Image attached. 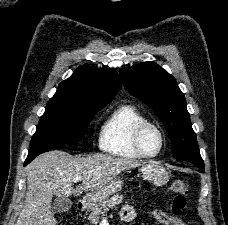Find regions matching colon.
<instances>
[{"label": "colon", "mask_w": 228, "mask_h": 225, "mask_svg": "<svg viewBox=\"0 0 228 225\" xmlns=\"http://www.w3.org/2000/svg\"><path fill=\"white\" fill-rule=\"evenodd\" d=\"M170 192L173 196L170 205V214L182 215L188 195V183L182 179L174 180L170 185Z\"/></svg>", "instance_id": "1"}]
</instances>
